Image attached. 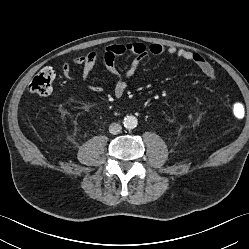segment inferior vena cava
<instances>
[{"mask_svg":"<svg viewBox=\"0 0 249 249\" xmlns=\"http://www.w3.org/2000/svg\"><path fill=\"white\" fill-rule=\"evenodd\" d=\"M121 129H122V127H121V125L118 124V123H112V124H110V126H109V132H110L111 134H114V135L120 133Z\"/></svg>","mask_w":249,"mask_h":249,"instance_id":"1","label":"inferior vena cava"}]
</instances>
